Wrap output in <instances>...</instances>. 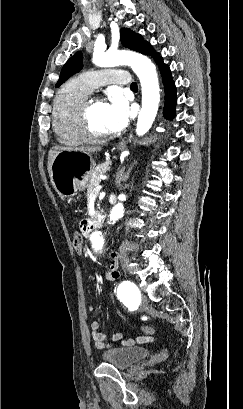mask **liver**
I'll list each match as a JSON object with an SVG mask.
<instances>
[{
  "label": "liver",
  "mask_w": 243,
  "mask_h": 409,
  "mask_svg": "<svg viewBox=\"0 0 243 409\" xmlns=\"http://www.w3.org/2000/svg\"><path fill=\"white\" fill-rule=\"evenodd\" d=\"M63 150H74V151H79L87 156H90L94 153H97L98 151L101 150V147L99 146H91V147H77V148H66V147H60V146H54L50 149L49 153H48V173L50 175L51 178V182H52V163L53 160L55 158V156ZM53 184V183H52Z\"/></svg>",
  "instance_id": "liver-1"
}]
</instances>
